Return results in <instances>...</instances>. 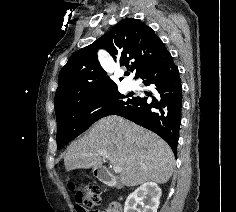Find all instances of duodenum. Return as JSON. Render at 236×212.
Masks as SVG:
<instances>
[{
	"instance_id": "410a0bca",
	"label": "duodenum",
	"mask_w": 236,
	"mask_h": 212,
	"mask_svg": "<svg viewBox=\"0 0 236 212\" xmlns=\"http://www.w3.org/2000/svg\"><path fill=\"white\" fill-rule=\"evenodd\" d=\"M98 179L105 185L114 187L116 184L115 178L106 167H100L97 170Z\"/></svg>"
}]
</instances>
